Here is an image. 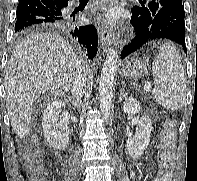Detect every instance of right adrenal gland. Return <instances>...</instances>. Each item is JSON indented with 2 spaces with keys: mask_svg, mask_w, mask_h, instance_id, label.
Masks as SVG:
<instances>
[{
  "mask_svg": "<svg viewBox=\"0 0 197 181\" xmlns=\"http://www.w3.org/2000/svg\"><path fill=\"white\" fill-rule=\"evenodd\" d=\"M70 104L75 105V102L72 99H70Z\"/></svg>",
  "mask_w": 197,
  "mask_h": 181,
  "instance_id": "obj_1",
  "label": "right adrenal gland"
}]
</instances>
